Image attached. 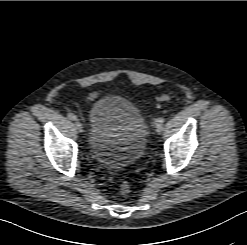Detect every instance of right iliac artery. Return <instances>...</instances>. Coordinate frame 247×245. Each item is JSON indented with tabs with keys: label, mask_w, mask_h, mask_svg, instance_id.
<instances>
[{
	"label": "right iliac artery",
	"mask_w": 247,
	"mask_h": 245,
	"mask_svg": "<svg viewBox=\"0 0 247 245\" xmlns=\"http://www.w3.org/2000/svg\"><path fill=\"white\" fill-rule=\"evenodd\" d=\"M68 118L73 121L77 119L76 115H74L73 113H69Z\"/></svg>",
	"instance_id": "obj_1"
}]
</instances>
